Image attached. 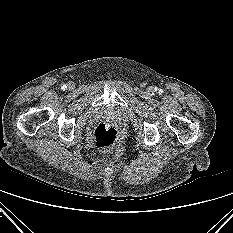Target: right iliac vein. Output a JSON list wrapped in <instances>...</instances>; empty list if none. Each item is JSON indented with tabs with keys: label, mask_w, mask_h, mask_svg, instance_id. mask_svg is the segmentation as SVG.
I'll return each instance as SVG.
<instances>
[{
	"label": "right iliac vein",
	"mask_w": 233,
	"mask_h": 233,
	"mask_svg": "<svg viewBox=\"0 0 233 233\" xmlns=\"http://www.w3.org/2000/svg\"><path fill=\"white\" fill-rule=\"evenodd\" d=\"M68 87H69V88L71 87V83H68Z\"/></svg>",
	"instance_id": "obj_1"
}]
</instances>
